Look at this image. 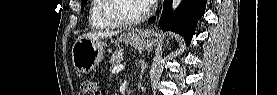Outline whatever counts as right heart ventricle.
Listing matches in <instances>:
<instances>
[{"label": "right heart ventricle", "mask_w": 277, "mask_h": 95, "mask_svg": "<svg viewBox=\"0 0 277 95\" xmlns=\"http://www.w3.org/2000/svg\"><path fill=\"white\" fill-rule=\"evenodd\" d=\"M104 0H92L91 7H90V18L89 24L92 28L95 29H109L113 28L115 25L108 23L107 21L103 20L99 15V10L103 5Z\"/></svg>", "instance_id": "1"}]
</instances>
